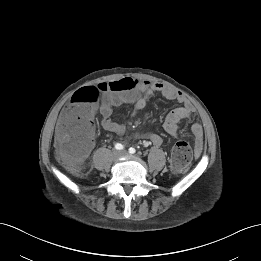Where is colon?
Listing matches in <instances>:
<instances>
[{"instance_id": "1", "label": "colon", "mask_w": 261, "mask_h": 261, "mask_svg": "<svg viewBox=\"0 0 261 261\" xmlns=\"http://www.w3.org/2000/svg\"><path fill=\"white\" fill-rule=\"evenodd\" d=\"M138 86L132 78L119 81L104 82L97 86H87L78 89L71 97L73 108L63 117L60 131L64 135L60 143L59 156L61 161L72 171L80 169L91 144L88 131V122L94 112V107L102 93H131ZM193 159V150L186 140H179L171 153V168L174 171H183Z\"/></svg>"}]
</instances>
